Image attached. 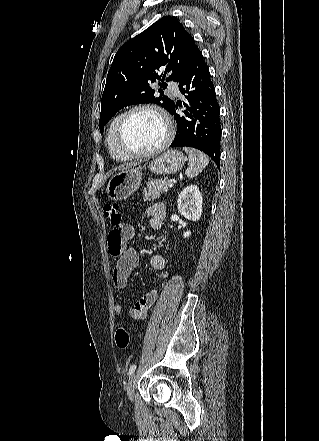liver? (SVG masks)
Here are the masks:
<instances>
[{
  "instance_id": "liver-1",
  "label": "liver",
  "mask_w": 319,
  "mask_h": 441,
  "mask_svg": "<svg viewBox=\"0 0 319 441\" xmlns=\"http://www.w3.org/2000/svg\"><path fill=\"white\" fill-rule=\"evenodd\" d=\"M137 163L135 162H131V163H125L123 165H120L119 167L116 168V170H123V169H128L130 167L135 166Z\"/></svg>"
}]
</instances>
